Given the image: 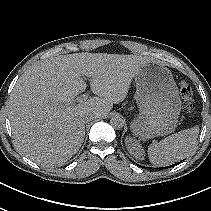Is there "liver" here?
<instances>
[{"label":"liver","instance_id":"6515ba94","mask_svg":"<svg viewBox=\"0 0 211 211\" xmlns=\"http://www.w3.org/2000/svg\"><path fill=\"white\" fill-rule=\"evenodd\" d=\"M147 58L136 55L75 53L44 60L18 79L9 100L14 143L42 166L63 165L81 147L84 116L105 117L122 102ZM90 78L96 97L75 104Z\"/></svg>","mask_w":211,"mask_h":211}]
</instances>
